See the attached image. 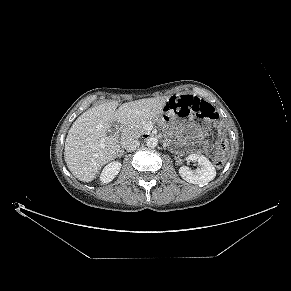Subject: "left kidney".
Masks as SVG:
<instances>
[{"instance_id":"obj_1","label":"left kidney","mask_w":291,"mask_h":291,"mask_svg":"<svg viewBox=\"0 0 291 291\" xmlns=\"http://www.w3.org/2000/svg\"><path fill=\"white\" fill-rule=\"evenodd\" d=\"M187 159L189 161L197 162L200 165V168L191 170L187 166L180 167L179 174L185 181L192 184L204 185L215 178L216 169L205 156L199 154H190Z\"/></svg>"}]
</instances>
